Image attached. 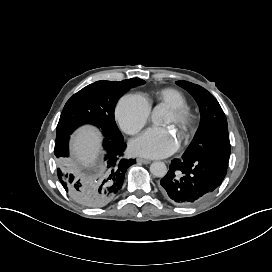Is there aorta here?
I'll return each instance as SVG.
<instances>
[{
  "mask_svg": "<svg viewBox=\"0 0 272 272\" xmlns=\"http://www.w3.org/2000/svg\"><path fill=\"white\" fill-rule=\"evenodd\" d=\"M167 113V108L163 104H159L155 106V108L152 111V121L155 124H159L163 121V117ZM150 172L159 178L164 177L167 174V167L164 162H153L150 165Z\"/></svg>",
  "mask_w": 272,
  "mask_h": 272,
  "instance_id": "762f6f07",
  "label": "aorta"
}]
</instances>
